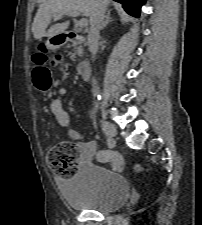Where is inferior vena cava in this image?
Wrapping results in <instances>:
<instances>
[{"label":"inferior vena cava","mask_w":202,"mask_h":225,"mask_svg":"<svg viewBox=\"0 0 202 225\" xmlns=\"http://www.w3.org/2000/svg\"><path fill=\"white\" fill-rule=\"evenodd\" d=\"M104 15H105V6L101 2H98L95 13L90 20L91 26L88 32L89 51L92 53L93 56L97 53L99 30L104 20L105 17Z\"/></svg>","instance_id":"inferior-vena-cava-1"}]
</instances>
